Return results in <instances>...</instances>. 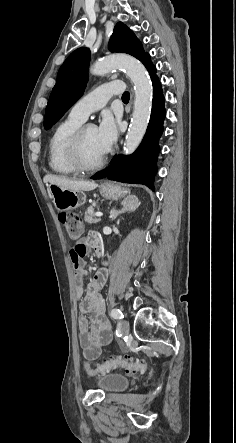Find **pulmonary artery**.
Segmentation results:
<instances>
[{"label":"pulmonary artery","instance_id":"obj_1","mask_svg":"<svg viewBox=\"0 0 236 443\" xmlns=\"http://www.w3.org/2000/svg\"><path fill=\"white\" fill-rule=\"evenodd\" d=\"M123 90L124 84L121 81L105 83L79 99L72 106L69 115L85 121L92 112L102 108L111 96L120 94Z\"/></svg>","mask_w":236,"mask_h":443}]
</instances>
